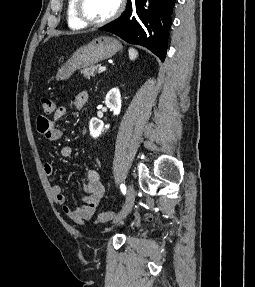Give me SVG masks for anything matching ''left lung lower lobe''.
Returning <instances> with one entry per match:
<instances>
[{"label": "left lung lower lobe", "instance_id": "0a47b994", "mask_svg": "<svg viewBox=\"0 0 255 287\" xmlns=\"http://www.w3.org/2000/svg\"><path fill=\"white\" fill-rule=\"evenodd\" d=\"M176 0H128L122 16L100 30L118 35L131 44L148 48L164 61Z\"/></svg>", "mask_w": 255, "mask_h": 287}]
</instances>
